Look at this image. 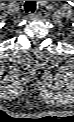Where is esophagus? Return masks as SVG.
I'll use <instances>...</instances> for the list:
<instances>
[{"label": "esophagus", "instance_id": "1", "mask_svg": "<svg viewBox=\"0 0 74 122\" xmlns=\"http://www.w3.org/2000/svg\"><path fill=\"white\" fill-rule=\"evenodd\" d=\"M40 16V14L38 12H35V13H30L28 15L29 19H38Z\"/></svg>", "mask_w": 74, "mask_h": 122}]
</instances>
